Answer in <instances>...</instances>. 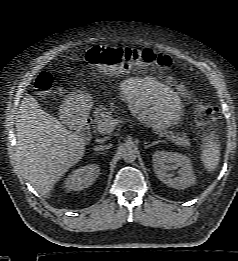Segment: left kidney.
Returning <instances> with one entry per match:
<instances>
[{"label": "left kidney", "mask_w": 238, "mask_h": 261, "mask_svg": "<svg viewBox=\"0 0 238 261\" xmlns=\"http://www.w3.org/2000/svg\"><path fill=\"white\" fill-rule=\"evenodd\" d=\"M157 178L169 187L185 189L196 183L190 159L175 152L156 151L152 157ZM178 176L172 177L168 171L178 169Z\"/></svg>", "instance_id": "1"}]
</instances>
